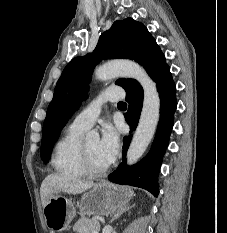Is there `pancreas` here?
<instances>
[{
  "instance_id": "obj_1",
  "label": "pancreas",
  "mask_w": 227,
  "mask_h": 233,
  "mask_svg": "<svg viewBox=\"0 0 227 233\" xmlns=\"http://www.w3.org/2000/svg\"><path fill=\"white\" fill-rule=\"evenodd\" d=\"M100 230L98 220L82 216L74 225V231L77 233H97Z\"/></svg>"
}]
</instances>
